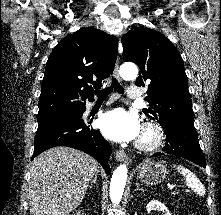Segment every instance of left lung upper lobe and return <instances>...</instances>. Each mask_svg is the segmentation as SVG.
I'll return each instance as SVG.
<instances>
[{
    "instance_id": "left-lung-upper-lobe-1",
    "label": "left lung upper lobe",
    "mask_w": 221,
    "mask_h": 215,
    "mask_svg": "<svg viewBox=\"0 0 221 215\" xmlns=\"http://www.w3.org/2000/svg\"><path fill=\"white\" fill-rule=\"evenodd\" d=\"M122 44L124 59L140 68L135 84L148 85L149 108L143 112L160 125L194 123L183 60L172 42L155 30L139 28L125 34Z\"/></svg>"
}]
</instances>
